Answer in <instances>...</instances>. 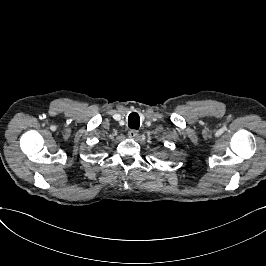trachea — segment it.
<instances>
[{"instance_id": "obj_1", "label": "trachea", "mask_w": 266, "mask_h": 266, "mask_svg": "<svg viewBox=\"0 0 266 266\" xmlns=\"http://www.w3.org/2000/svg\"><path fill=\"white\" fill-rule=\"evenodd\" d=\"M128 124L130 128L138 129L140 124L139 115L135 112L131 113L128 117Z\"/></svg>"}]
</instances>
